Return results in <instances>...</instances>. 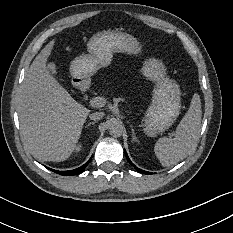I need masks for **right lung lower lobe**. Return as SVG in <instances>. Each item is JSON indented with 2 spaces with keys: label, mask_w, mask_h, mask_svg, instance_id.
Returning a JSON list of instances; mask_svg holds the SVG:
<instances>
[{
  "label": "right lung lower lobe",
  "mask_w": 233,
  "mask_h": 233,
  "mask_svg": "<svg viewBox=\"0 0 233 233\" xmlns=\"http://www.w3.org/2000/svg\"><path fill=\"white\" fill-rule=\"evenodd\" d=\"M90 160H91V158H90ZM90 160L86 164H84L83 166H81V167H79L77 169H74V170H70V171H57V170H53V169H50V168L49 169L56 172V173H58V174H60V175H64V176L76 175V174H79V173L84 171L85 167L88 165Z\"/></svg>",
  "instance_id": "obj_1"
}]
</instances>
